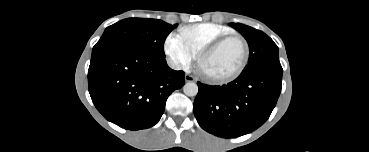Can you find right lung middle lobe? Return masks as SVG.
I'll return each mask as SVG.
<instances>
[{"mask_svg": "<svg viewBox=\"0 0 369 152\" xmlns=\"http://www.w3.org/2000/svg\"><path fill=\"white\" fill-rule=\"evenodd\" d=\"M178 26L162 20L128 18L107 27L93 47L92 56L101 52L128 47L165 59L164 42L168 34Z\"/></svg>", "mask_w": 369, "mask_h": 152, "instance_id": "obj_1", "label": "right lung middle lobe"}]
</instances>
